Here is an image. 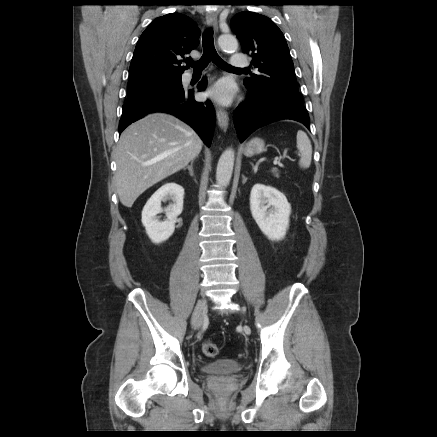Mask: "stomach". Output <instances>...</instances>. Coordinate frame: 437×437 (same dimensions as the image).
I'll return each instance as SVG.
<instances>
[{"label":"stomach","instance_id":"1","mask_svg":"<svg viewBox=\"0 0 437 437\" xmlns=\"http://www.w3.org/2000/svg\"><path fill=\"white\" fill-rule=\"evenodd\" d=\"M243 151L247 157L261 154L265 151V142L261 138H253L246 144Z\"/></svg>","mask_w":437,"mask_h":437}]
</instances>
